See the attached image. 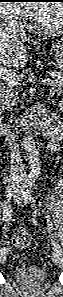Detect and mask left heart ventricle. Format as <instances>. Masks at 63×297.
I'll return each mask as SVG.
<instances>
[{
  "label": "left heart ventricle",
  "instance_id": "obj_1",
  "mask_svg": "<svg viewBox=\"0 0 63 297\" xmlns=\"http://www.w3.org/2000/svg\"><path fill=\"white\" fill-rule=\"evenodd\" d=\"M48 5H44L41 6L38 12H35L33 15H35V18L38 20V23L40 24H45L47 26H53V27H57L60 25V8L57 5H51L50 7H47ZM53 8H58L56 9L57 11H55L57 14V17L54 19H50V15H47V12L52 11ZM55 10V9H54ZM47 11V12H44ZM59 11V12H58ZM49 14H53V13H49ZM43 15V16H41ZM55 21V22H53ZM49 22H52L51 25Z\"/></svg>",
  "mask_w": 63,
  "mask_h": 297
}]
</instances>
